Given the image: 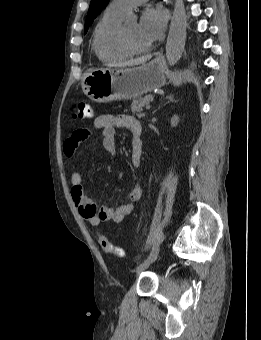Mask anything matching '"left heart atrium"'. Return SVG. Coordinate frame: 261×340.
I'll use <instances>...</instances> for the list:
<instances>
[{
	"label": "left heart atrium",
	"mask_w": 261,
	"mask_h": 340,
	"mask_svg": "<svg viewBox=\"0 0 261 340\" xmlns=\"http://www.w3.org/2000/svg\"><path fill=\"white\" fill-rule=\"evenodd\" d=\"M167 14L162 8H146L141 15L138 28L149 45L158 40L164 32Z\"/></svg>",
	"instance_id": "1"
}]
</instances>
